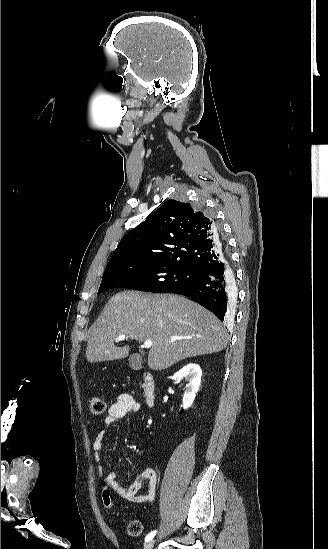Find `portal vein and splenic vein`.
Wrapping results in <instances>:
<instances>
[{"mask_svg":"<svg viewBox=\"0 0 328 549\" xmlns=\"http://www.w3.org/2000/svg\"><path fill=\"white\" fill-rule=\"evenodd\" d=\"M124 339H128L126 335H119L118 339L116 341H124ZM177 339H182V337H172L171 341L169 343H174V341H177ZM153 343L152 341H144V345H142L143 349H150L152 347Z\"/></svg>","mask_w":328,"mask_h":549,"instance_id":"1","label":"portal vein and splenic vein"}]
</instances>
